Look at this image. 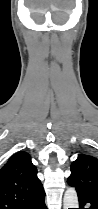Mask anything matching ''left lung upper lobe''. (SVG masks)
<instances>
[{
	"mask_svg": "<svg viewBox=\"0 0 98 209\" xmlns=\"http://www.w3.org/2000/svg\"><path fill=\"white\" fill-rule=\"evenodd\" d=\"M67 182L78 194L98 201V158L81 153L71 164Z\"/></svg>",
	"mask_w": 98,
	"mask_h": 209,
	"instance_id": "obj_1",
	"label": "left lung upper lobe"
}]
</instances>
